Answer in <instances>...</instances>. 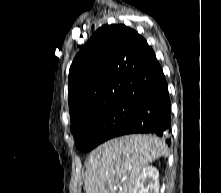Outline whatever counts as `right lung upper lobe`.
Returning a JSON list of instances; mask_svg holds the SVG:
<instances>
[{
	"instance_id": "cb5924a9",
	"label": "right lung upper lobe",
	"mask_w": 221,
	"mask_h": 193,
	"mask_svg": "<svg viewBox=\"0 0 221 193\" xmlns=\"http://www.w3.org/2000/svg\"><path fill=\"white\" fill-rule=\"evenodd\" d=\"M161 71L153 49L135 30L122 24L102 26L70 67L71 130L110 103L142 99Z\"/></svg>"
}]
</instances>
